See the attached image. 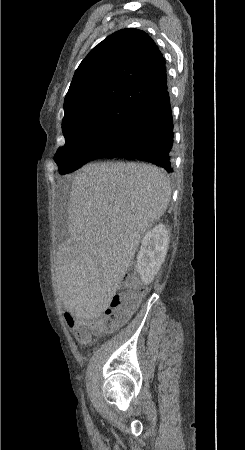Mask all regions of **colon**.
<instances>
[{"label":"colon","instance_id":"colon-1","mask_svg":"<svg viewBox=\"0 0 245 450\" xmlns=\"http://www.w3.org/2000/svg\"><path fill=\"white\" fill-rule=\"evenodd\" d=\"M122 291L114 295L110 304L97 315L75 325L82 338H87L89 331H114L126 324L136 311L144 294V289L136 283L134 275H128L121 283Z\"/></svg>","mask_w":245,"mask_h":450}]
</instances>
